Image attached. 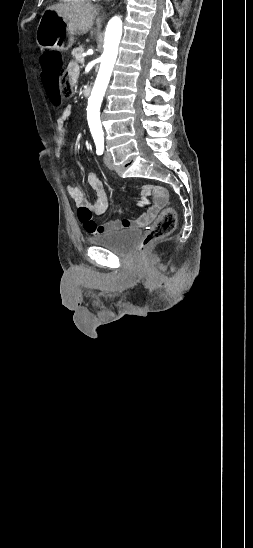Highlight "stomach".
Segmentation results:
<instances>
[{"instance_id":"stomach-1","label":"stomach","mask_w":253,"mask_h":548,"mask_svg":"<svg viewBox=\"0 0 253 548\" xmlns=\"http://www.w3.org/2000/svg\"><path fill=\"white\" fill-rule=\"evenodd\" d=\"M36 42L41 50L67 51L72 47L74 38L64 18L47 10L39 21Z\"/></svg>"}]
</instances>
